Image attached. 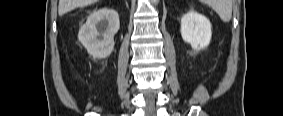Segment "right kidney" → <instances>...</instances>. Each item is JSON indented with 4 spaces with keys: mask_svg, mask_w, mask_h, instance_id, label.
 Returning a JSON list of instances; mask_svg holds the SVG:
<instances>
[{
    "mask_svg": "<svg viewBox=\"0 0 283 116\" xmlns=\"http://www.w3.org/2000/svg\"><path fill=\"white\" fill-rule=\"evenodd\" d=\"M119 26L118 13L102 8L89 15L79 30L78 39L93 58H106L114 49V35Z\"/></svg>",
    "mask_w": 283,
    "mask_h": 116,
    "instance_id": "obj_1",
    "label": "right kidney"
}]
</instances>
